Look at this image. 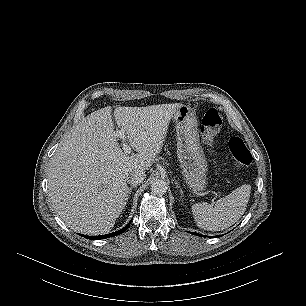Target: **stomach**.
<instances>
[{"label": "stomach", "instance_id": "0dacf381", "mask_svg": "<svg viewBox=\"0 0 306 306\" xmlns=\"http://www.w3.org/2000/svg\"><path fill=\"white\" fill-rule=\"evenodd\" d=\"M177 133V156L188 187L202 192L206 187V159L200 145L197 119L189 105H182L174 114Z\"/></svg>", "mask_w": 306, "mask_h": 306}]
</instances>
